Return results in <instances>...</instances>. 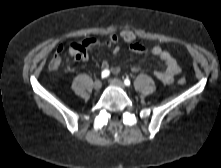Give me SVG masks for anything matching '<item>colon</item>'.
Listing matches in <instances>:
<instances>
[{"label":"colon","instance_id":"1","mask_svg":"<svg viewBox=\"0 0 221 168\" xmlns=\"http://www.w3.org/2000/svg\"><path fill=\"white\" fill-rule=\"evenodd\" d=\"M118 37L126 43H132L136 40V33L134 31L130 30V29H123V30H120L118 32ZM94 42L95 41L92 40V41H89L87 44L94 43ZM87 44H85V45H87ZM62 51H63V46H59L57 51L53 55L52 59L50 60L49 68L51 70H55L61 65V61H62L61 53H62ZM83 51H84V47L81 50H72V51H70V49H69L70 54L74 58H76ZM178 83L180 85H184L186 83V81H185V79H180L178 81Z\"/></svg>","mask_w":221,"mask_h":168}]
</instances>
